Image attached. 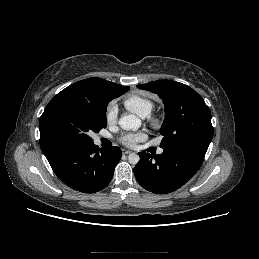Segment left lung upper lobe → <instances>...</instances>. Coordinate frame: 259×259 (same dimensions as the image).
Returning <instances> with one entry per match:
<instances>
[{"mask_svg": "<svg viewBox=\"0 0 259 259\" xmlns=\"http://www.w3.org/2000/svg\"><path fill=\"white\" fill-rule=\"evenodd\" d=\"M164 103L165 119L160 133L163 149L192 148L206 153L213 137L211 112L203 98L189 86L171 80L141 84Z\"/></svg>", "mask_w": 259, "mask_h": 259, "instance_id": "obj_1", "label": "left lung upper lobe"}]
</instances>
